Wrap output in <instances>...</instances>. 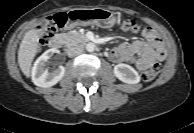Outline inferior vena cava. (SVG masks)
<instances>
[{"mask_svg": "<svg viewBox=\"0 0 194 133\" xmlns=\"http://www.w3.org/2000/svg\"><path fill=\"white\" fill-rule=\"evenodd\" d=\"M66 52H67L68 57L72 58V57L80 55L83 52V48L82 47H69L66 50Z\"/></svg>", "mask_w": 194, "mask_h": 133, "instance_id": "inferior-vena-cava-1", "label": "inferior vena cava"}]
</instances>
